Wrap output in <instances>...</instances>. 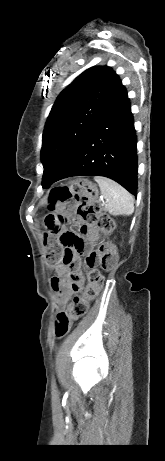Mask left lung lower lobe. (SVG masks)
I'll list each match as a JSON object with an SVG mask.
<instances>
[{
	"instance_id": "left-lung-lower-lobe-1",
	"label": "left lung lower lobe",
	"mask_w": 165,
	"mask_h": 461,
	"mask_svg": "<svg viewBox=\"0 0 165 461\" xmlns=\"http://www.w3.org/2000/svg\"><path fill=\"white\" fill-rule=\"evenodd\" d=\"M136 144L133 115L123 86L52 183L72 176H104L136 195Z\"/></svg>"
}]
</instances>
